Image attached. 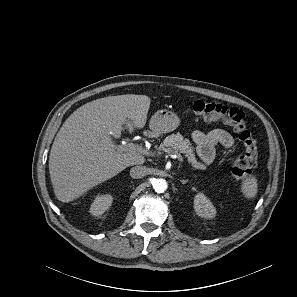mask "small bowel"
<instances>
[{
	"mask_svg": "<svg viewBox=\"0 0 297 297\" xmlns=\"http://www.w3.org/2000/svg\"><path fill=\"white\" fill-rule=\"evenodd\" d=\"M191 138L196 143L198 156L204 164H210L213 161L217 144L230 148L234 143L231 134L220 128L213 129L207 133L193 130Z\"/></svg>",
	"mask_w": 297,
	"mask_h": 297,
	"instance_id": "1",
	"label": "small bowel"
}]
</instances>
